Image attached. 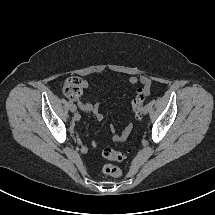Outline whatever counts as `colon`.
<instances>
[{
    "label": "colon",
    "instance_id": "colon-1",
    "mask_svg": "<svg viewBox=\"0 0 215 215\" xmlns=\"http://www.w3.org/2000/svg\"><path fill=\"white\" fill-rule=\"evenodd\" d=\"M63 91L65 95L71 99H77L83 91V81L76 76L69 77L63 84ZM149 94V87L143 86L136 91V95L132 100V108L137 118H140L141 107ZM102 156L107 160L122 161L126 158L127 154L123 151H116L112 148H104ZM102 171L111 177H120L122 171L117 166L112 164H105Z\"/></svg>",
    "mask_w": 215,
    "mask_h": 215
}]
</instances>
